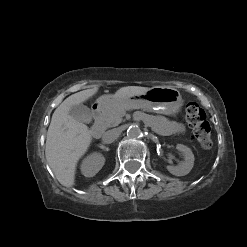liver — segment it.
<instances>
[{
    "label": "liver",
    "instance_id": "1",
    "mask_svg": "<svg viewBox=\"0 0 247 247\" xmlns=\"http://www.w3.org/2000/svg\"><path fill=\"white\" fill-rule=\"evenodd\" d=\"M149 89L141 86L122 87L114 96L118 99L146 93ZM98 91V87L83 90L66 98L54 111L47 132L45 155L57 180L65 187H72L75 182L76 166L79 159L87 152L92 134L84 123L75 120L69 110Z\"/></svg>",
    "mask_w": 247,
    "mask_h": 247
}]
</instances>
